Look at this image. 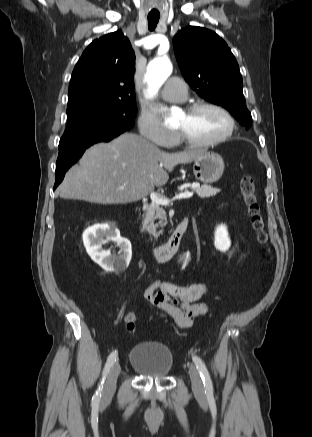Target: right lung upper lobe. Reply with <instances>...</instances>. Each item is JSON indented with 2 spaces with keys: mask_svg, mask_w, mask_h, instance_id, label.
I'll return each mask as SVG.
<instances>
[{
  "mask_svg": "<svg viewBox=\"0 0 312 437\" xmlns=\"http://www.w3.org/2000/svg\"><path fill=\"white\" fill-rule=\"evenodd\" d=\"M135 55L120 31L94 40L71 76L68 107L85 102H135Z\"/></svg>",
  "mask_w": 312,
  "mask_h": 437,
  "instance_id": "right-lung-upper-lobe-1",
  "label": "right lung upper lobe"
}]
</instances>
